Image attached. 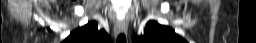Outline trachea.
Returning <instances> with one entry per match:
<instances>
[{
	"label": "trachea",
	"mask_w": 256,
	"mask_h": 43,
	"mask_svg": "<svg viewBox=\"0 0 256 43\" xmlns=\"http://www.w3.org/2000/svg\"><path fill=\"white\" fill-rule=\"evenodd\" d=\"M116 43H126V36L124 33L118 35Z\"/></svg>",
	"instance_id": "obj_1"
}]
</instances>
